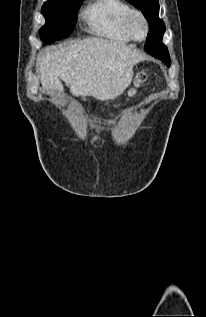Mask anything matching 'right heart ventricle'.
<instances>
[{
	"label": "right heart ventricle",
	"instance_id": "1",
	"mask_svg": "<svg viewBox=\"0 0 206 317\" xmlns=\"http://www.w3.org/2000/svg\"><path fill=\"white\" fill-rule=\"evenodd\" d=\"M132 10L125 0H95L83 17L92 33L117 43L132 41L125 29V20Z\"/></svg>",
	"mask_w": 206,
	"mask_h": 317
}]
</instances>
